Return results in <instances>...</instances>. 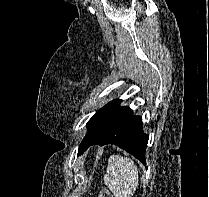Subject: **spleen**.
<instances>
[{"instance_id":"spleen-1","label":"spleen","mask_w":209,"mask_h":197,"mask_svg":"<svg viewBox=\"0 0 209 197\" xmlns=\"http://www.w3.org/2000/svg\"><path fill=\"white\" fill-rule=\"evenodd\" d=\"M104 182L114 197H132L139 183L138 168L130 158L111 155Z\"/></svg>"}]
</instances>
